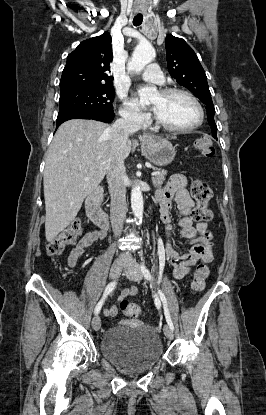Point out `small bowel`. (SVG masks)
I'll return each mask as SVG.
<instances>
[{"mask_svg": "<svg viewBox=\"0 0 266 415\" xmlns=\"http://www.w3.org/2000/svg\"><path fill=\"white\" fill-rule=\"evenodd\" d=\"M187 184L185 176L173 175L168 183L156 193V202L160 205V218L165 225L168 239L165 246V255L167 261L173 267L172 276L175 279H183L197 262L206 264L213 260V236L207 223L199 222L194 224L189 216L194 203L189 194ZM172 200L175 201L177 210L181 215L178 222L180 235L191 241L189 252L184 254L176 251L171 242L173 224L170 208ZM104 237L105 231L101 229L87 232L71 250L68 257V265L71 268L75 267L85 250ZM137 292L138 289L135 286L124 289L118 300L122 301L124 298L133 297ZM116 314L117 307L115 305L104 311L105 316H115Z\"/></svg>", "mask_w": 266, "mask_h": 415, "instance_id": "small-bowel-1", "label": "small bowel"}]
</instances>
